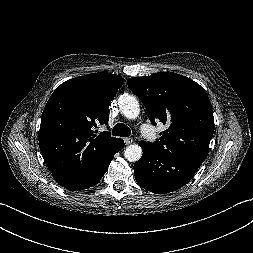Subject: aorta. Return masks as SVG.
<instances>
[{"label":"aorta","mask_w":253,"mask_h":253,"mask_svg":"<svg viewBox=\"0 0 253 253\" xmlns=\"http://www.w3.org/2000/svg\"><path fill=\"white\" fill-rule=\"evenodd\" d=\"M120 111L128 119H135L140 112L138 100L129 94H123L118 99ZM125 158L130 162L138 161L142 156V148L138 144L129 145L124 151Z\"/></svg>","instance_id":"1"}]
</instances>
